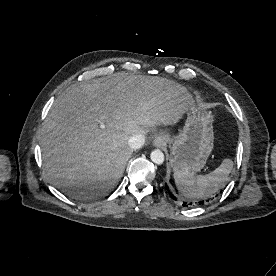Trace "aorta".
<instances>
[{"label":"aorta","mask_w":276,"mask_h":276,"mask_svg":"<svg viewBox=\"0 0 276 276\" xmlns=\"http://www.w3.org/2000/svg\"><path fill=\"white\" fill-rule=\"evenodd\" d=\"M150 158L153 163L158 164V165L162 164L165 159L163 152L158 149L151 152Z\"/></svg>","instance_id":"aorta-1"}]
</instances>
